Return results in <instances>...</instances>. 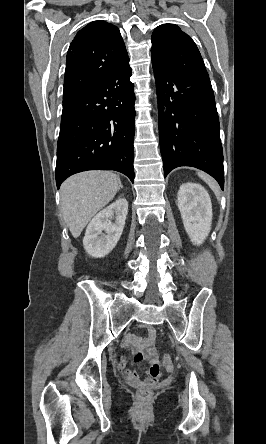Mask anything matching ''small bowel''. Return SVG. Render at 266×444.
I'll return each mask as SVG.
<instances>
[{
	"instance_id": "c3829d8e",
	"label": "small bowel",
	"mask_w": 266,
	"mask_h": 444,
	"mask_svg": "<svg viewBox=\"0 0 266 444\" xmlns=\"http://www.w3.org/2000/svg\"><path fill=\"white\" fill-rule=\"evenodd\" d=\"M156 331L154 328H149V335L146 338H138L136 336H126L122 345L134 352V361L139 362L143 359L148 360L149 367L147 369V378L143 382L138 373L128 368V360L122 358L119 362V368L126 376L127 380L135 385H154L161 375V364L156 358V351L154 348Z\"/></svg>"
}]
</instances>
